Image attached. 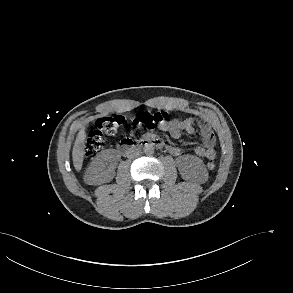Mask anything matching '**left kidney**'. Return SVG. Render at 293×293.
Masks as SVG:
<instances>
[{
  "mask_svg": "<svg viewBox=\"0 0 293 293\" xmlns=\"http://www.w3.org/2000/svg\"><path fill=\"white\" fill-rule=\"evenodd\" d=\"M180 174L185 180L202 181L208 177L203 161L194 155H183L177 160Z\"/></svg>",
  "mask_w": 293,
  "mask_h": 293,
  "instance_id": "left-kidney-1",
  "label": "left kidney"
}]
</instances>
